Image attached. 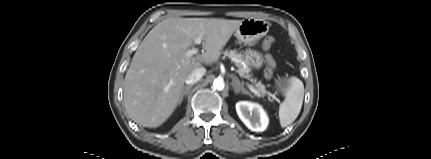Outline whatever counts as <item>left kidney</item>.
Masks as SVG:
<instances>
[{"mask_svg":"<svg viewBox=\"0 0 431 159\" xmlns=\"http://www.w3.org/2000/svg\"><path fill=\"white\" fill-rule=\"evenodd\" d=\"M236 111L241 121L252 131L262 132L269 123L268 116L261 105L248 101L236 103Z\"/></svg>","mask_w":431,"mask_h":159,"instance_id":"left-kidney-1","label":"left kidney"}]
</instances>
